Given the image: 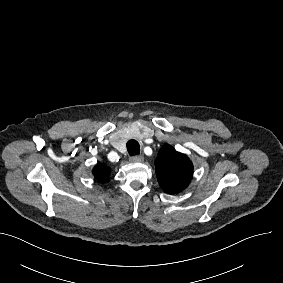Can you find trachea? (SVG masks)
Here are the masks:
<instances>
[{"label": "trachea", "instance_id": "3493384b", "mask_svg": "<svg viewBox=\"0 0 283 283\" xmlns=\"http://www.w3.org/2000/svg\"><path fill=\"white\" fill-rule=\"evenodd\" d=\"M126 147H127V151L128 153L131 155V156H135V155H138L140 153V145L139 143L132 139V140H129L126 144Z\"/></svg>", "mask_w": 283, "mask_h": 283}]
</instances>
